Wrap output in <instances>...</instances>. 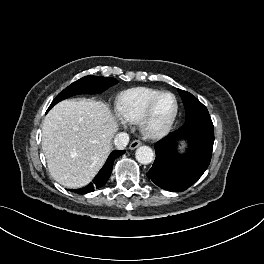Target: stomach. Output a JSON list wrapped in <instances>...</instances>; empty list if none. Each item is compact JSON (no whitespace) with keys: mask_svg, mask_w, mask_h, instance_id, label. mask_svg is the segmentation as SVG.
<instances>
[{"mask_svg":"<svg viewBox=\"0 0 264 264\" xmlns=\"http://www.w3.org/2000/svg\"><path fill=\"white\" fill-rule=\"evenodd\" d=\"M184 145H185V143H184V142H182V147H181V148H183V147H184Z\"/></svg>","mask_w":264,"mask_h":264,"instance_id":"1","label":"stomach"}]
</instances>
